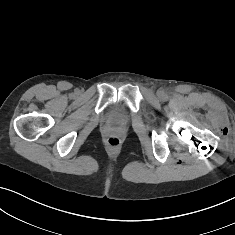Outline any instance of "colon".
<instances>
[{
    "label": "colon",
    "mask_w": 235,
    "mask_h": 235,
    "mask_svg": "<svg viewBox=\"0 0 235 235\" xmlns=\"http://www.w3.org/2000/svg\"><path fill=\"white\" fill-rule=\"evenodd\" d=\"M107 144L110 148H117L120 145V140L117 137L112 136L107 140Z\"/></svg>",
    "instance_id": "colon-1"
}]
</instances>
